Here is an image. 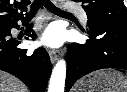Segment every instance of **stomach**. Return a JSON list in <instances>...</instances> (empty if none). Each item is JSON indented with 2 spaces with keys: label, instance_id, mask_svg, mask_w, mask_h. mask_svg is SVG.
I'll list each match as a JSON object with an SVG mask.
<instances>
[{
  "label": "stomach",
  "instance_id": "obj_1",
  "mask_svg": "<svg viewBox=\"0 0 127 92\" xmlns=\"http://www.w3.org/2000/svg\"><path fill=\"white\" fill-rule=\"evenodd\" d=\"M127 79L116 70H101L80 82L77 92H125Z\"/></svg>",
  "mask_w": 127,
  "mask_h": 92
}]
</instances>
